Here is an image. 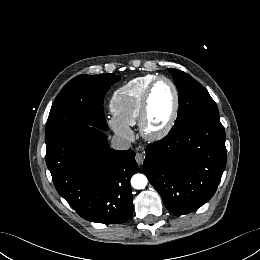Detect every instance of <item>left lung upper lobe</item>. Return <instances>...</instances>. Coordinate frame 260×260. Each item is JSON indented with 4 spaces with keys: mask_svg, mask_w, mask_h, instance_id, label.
Segmentation results:
<instances>
[{
    "mask_svg": "<svg viewBox=\"0 0 260 260\" xmlns=\"http://www.w3.org/2000/svg\"><path fill=\"white\" fill-rule=\"evenodd\" d=\"M169 71L175 80L179 94L178 115L172 129L197 115L219 113L216 103L199 82L183 71L173 68Z\"/></svg>",
    "mask_w": 260,
    "mask_h": 260,
    "instance_id": "1",
    "label": "left lung upper lobe"
}]
</instances>
